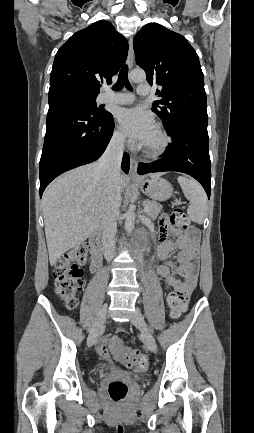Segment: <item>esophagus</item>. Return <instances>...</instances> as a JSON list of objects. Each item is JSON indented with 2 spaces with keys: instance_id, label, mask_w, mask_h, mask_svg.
Wrapping results in <instances>:
<instances>
[{
  "instance_id": "1",
  "label": "esophagus",
  "mask_w": 254,
  "mask_h": 433,
  "mask_svg": "<svg viewBox=\"0 0 254 433\" xmlns=\"http://www.w3.org/2000/svg\"><path fill=\"white\" fill-rule=\"evenodd\" d=\"M133 62H134L133 39L130 38L129 51H128V65L130 68L133 67ZM137 166H138V161L134 157H131V159H130V171H129V176L131 178H138Z\"/></svg>"
}]
</instances>
